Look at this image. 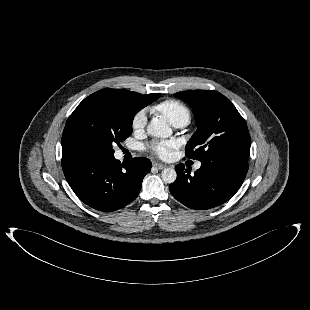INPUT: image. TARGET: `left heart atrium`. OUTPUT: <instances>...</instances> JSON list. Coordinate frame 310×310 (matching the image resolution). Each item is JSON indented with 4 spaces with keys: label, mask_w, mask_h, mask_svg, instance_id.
<instances>
[{
    "label": "left heart atrium",
    "mask_w": 310,
    "mask_h": 310,
    "mask_svg": "<svg viewBox=\"0 0 310 310\" xmlns=\"http://www.w3.org/2000/svg\"><path fill=\"white\" fill-rule=\"evenodd\" d=\"M175 148L174 141H155L149 145L151 152L161 159L171 158Z\"/></svg>",
    "instance_id": "39dd6f15"
}]
</instances>
